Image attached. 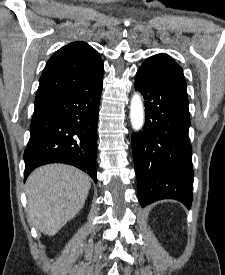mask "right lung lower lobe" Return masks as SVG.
<instances>
[{
  "label": "right lung lower lobe",
  "instance_id": "right-lung-lower-lobe-1",
  "mask_svg": "<svg viewBox=\"0 0 225 275\" xmlns=\"http://www.w3.org/2000/svg\"><path fill=\"white\" fill-rule=\"evenodd\" d=\"M103 75L92 90L69 91L35 101L24 152L25 179L48 163L76 166L96 182L98 109Z\"/></svg>",
  "mask_w": 225,
  "mask_h": 275
}]
</instances>
